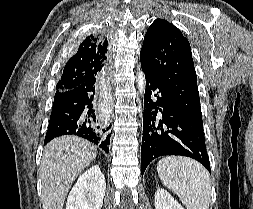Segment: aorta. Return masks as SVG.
<instances>
[{"label":"aorta","mask_w":253,"mask_h":209,"mask_svg":"<svg viewBox=\"0 0 253 209\" xmlns=\"http://www.w3.org/2000/svg\"><path fill=\"white\" fill-rule=\"evenodd\" d=\"M137 87H138L140 95L143 96L145 92V87H146V80H145V75L142 71L138 72Z\"/></svg>","instance_id":"aorta-1"}]
</instances>
